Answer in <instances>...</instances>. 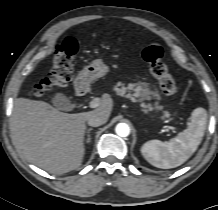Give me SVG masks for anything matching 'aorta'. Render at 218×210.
I'll return each mask as SVG.
<instances>
[{"label": "aorta", "instance_id": "762f6f07", "mask_svg": "<svg viewBox=\"0 0 218 210\" xmlns=\"http://www.w3.org/2000/svg\"><path fill=\"white\" fill-rule=\"evenodd\" d=\"M115 131L120 137H127L130 134V128L126 123L117 124Z\"/></svg>", "mask_w": 218, "mask_h": 210}]
</instances>
